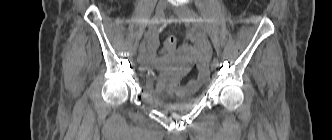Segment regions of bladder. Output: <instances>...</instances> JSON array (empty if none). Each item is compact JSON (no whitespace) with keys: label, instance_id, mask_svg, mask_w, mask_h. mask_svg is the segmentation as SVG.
Instances as JSON below:
<instances>
[{"label":"bladder","instance_id":"obj_1","mask_svg":"<svg viewBox=\"0 0 332 140\" xmlns=\"http://www.w3.org/2000/svg\"><path fill=\"white\" fill-rule=\"evenodd\" d=\"M194 80L188 81L181 86L183 92L180 94H161L149 91V99L152 103L169 111H180L193 103L195 96L202 88L203 82L191 85Z\"/></svg>","mask_w":332,"mask_h":140}]
</instances>
